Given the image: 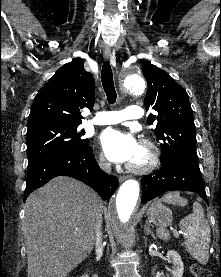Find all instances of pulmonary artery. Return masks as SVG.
<instances>
[{
    "label": "pulmonary artery",
    "instance_id": "1",
    "mask_svg": "<svg viewBox=\"0 0 221 277\" xmlns=\"http://www.w3.org/2000/svg\"><path fill=\"white\" fill-rule=\"evenodd\" d=\"M143 117V109L138 105H130L124 110L101 111L92 119L96 125L117 124L126 120H137Z\"/></svg>",
    "mask_w": 221,
    "mask_h": 277
}]
</instances>
